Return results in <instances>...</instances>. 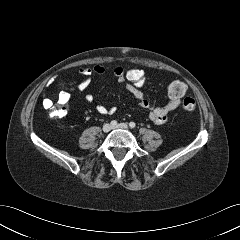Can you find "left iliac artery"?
Listing matches in <instances>:
<instances>
[{"label": "left iliac artery", "instance_id": "left-iliac-artery-1", "mask_svg": "<svg viewBox=\"0 0 240 240\" xmlns=\"http://www.w3.org/2000/svg\"><path fill=\"white\" fill-rule=\"evenodd\" d=\"M129 126H130L131 128H134V127L136 126V124H135L134 122H130V123H129Z\"/></svg>", "mask_w": 240, "mask_h": 240}]
</instances>
